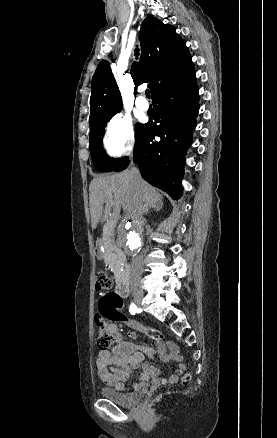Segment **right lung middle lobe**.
<instances>
[{
  "label": "right lung middle lobe",
  "instance_id": "1",
  "mask_svg": "<svg viewBox=\"0 0 277 438\" xmlns=\"http://www.w3.org/2000/svg\"><path fill=\"white\" fill-rule=\"evenodd\" d=\"M107 122L108 121L90 124V153L93 164L97 169L101 171H114L127 157L120 159L107 157V154L105 153L102 146L104 126ZM143 127L144 125L141 124L136 125V138L140 134Z\"/></svg>",
  "mask_w": 277,
  "mask_h": 438
}]
</instances>
